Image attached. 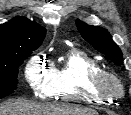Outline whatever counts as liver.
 Wrapping results in <instances>:
<instances>
[{
    "mask_svg": "<svg viewBox=\"0 0 131 115\" xmlns=\"http://www.w3.org/2000/svg\"><path fill=\"white\" fill-rule=\"evenodd\" d=\"M0 115H98V113L86 107L38 104L18 99L2 103L0 105Z\"/></svg>",
    "mask_w": 131,
    "mask_h": 115,
    "instance_id": "liver-1",
    "label": "liver"
}]
</instances>
